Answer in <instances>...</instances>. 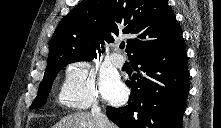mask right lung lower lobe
I'll return each instance as SVG.
<instances>
[{"label":"right lung lower lobe","mask_w":221,"mask_h":128,"mask_svg":"<svg viewBox=\"0 0 221 128\" xmlns=\"http://www.w3.org/2000/svg\"><path fill=\"white\" fill-rule=\"evenodd\" d=\"M187 61L183 37L132 58L136 73L127 82L132 89L128 105L108 106V118L120 128H181L189 92Z\"/></svg>","instance_id":"obj_1"}]
</instances>
